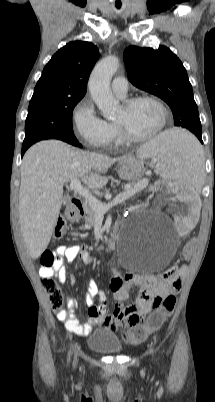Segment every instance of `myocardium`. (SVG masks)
Returning <instances> with one entry per match:
<instances>
[{
  "label": "myocardium",
  "mask_w": 215,
  "mask_h": 402,
  "mask_svg": "<svg viewBox=\"0 0 215 402\" xmlns=\"http://www.w3.org/2000/svg\"><path fill=\"white\" fill-rule=\"evenodd\" d=\"M141 101H150V102L155 103L159 107V109L161 110V113H162L161 124L154 132H152L148 135L136 136L127 129V127L125 126V124L123 122L116 121V126L119 130V133H120L122 139L129 143H142V142L152 140V139L156 138L158 135H160L166 129L167 124H168V119H169L168 108L165 105V103L156 96L139 95V96L131 97V98L126 99L123 102V107L125 109H129L133 105H135L136 103L141 102Z\"/></svg>",
  "instance_id": "1"
}]
</instances>
